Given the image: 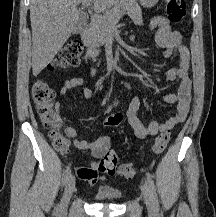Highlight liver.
<instances>
[{"instance_id":"liver-1","label":"liver","mask_w":216,"mask_h":217,"mask_svg":"<svg viewBox=\"0 0 216 217\" xmlns=\"http://www.w3.org/2000/svg\"><path fill=\"white\" fill-rule=\"evenodd\" d=\"M88 1L104 11L119 0H31L32 73L37 76L66 43L82 20L76 5Z\"/></svg>"}]
</instances>
